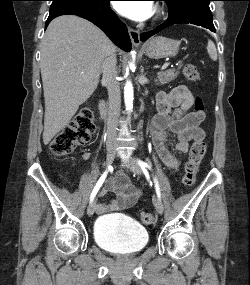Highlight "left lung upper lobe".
Masks as SVG:
<instances>
[{
    "label": "left lung upper lobe",
    "mask_w": 250,
    "mask_h": 285,
    "mask_svg": "<svg viewBox=\"0 0 250 285\" xmlns=\"http://www.w3.org/2000/svg\"><path fill=\"white\" fill-rule=\"evenodd\" d=\"M165 1L169 8L170 19H177L192 13L212 16L209 3L212 0H160Z\"/></svg>",
    "instance_id": "left-lung-upper-lobe-1"
}]
</instances>
